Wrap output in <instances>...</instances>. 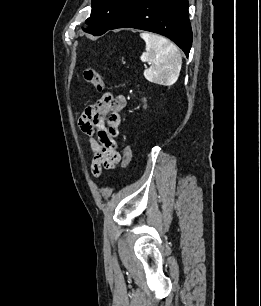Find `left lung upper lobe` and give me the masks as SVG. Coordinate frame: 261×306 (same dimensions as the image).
<instances>
[{
	"label": "left lung upper lobe",
	"mask_w": 261,
	"mask_h": 306,
	"mask_svg": "<svg viewBox=\"0 0 261 306\" xmlns=\"http://www.w3.org/2000/svg\"><path fill=\"white\" fill-rule=\"evenodd\" d=\"M133 0H92L88 28L83 31L95 36L104 34L122 17Z\"/></svg>",
	"instance_id": "obj_1"
}]
</instances>
